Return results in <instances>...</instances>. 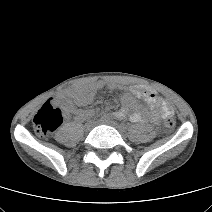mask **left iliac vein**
<instances>
[{"instance_id": "left-iliac-vein-1", "label": "left iliac vein", "mask_w": 212, "mask_h": 212, "mask_svg": "<svg viewBox=\"0 0 212 212\" xmlns=\"http://www.w3.org/2000/svg\"><path fill=\"white\" fill-rule=\"evenodd\" d=\"M100 124H106L109 126L114 127L115 129H117L118 131H122V128L118 125V123H116L115 121H111V120H101L99 121Z\"/></svg>"}]
</instances>
